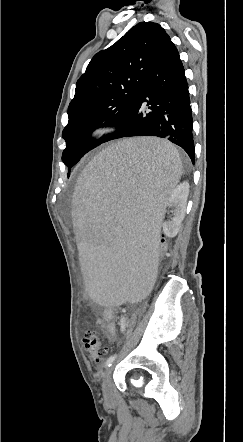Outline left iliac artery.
<instances>
[{
    "label": "left iliac artery",
    "mask_w": 243,
    "mask_h": 442,
    "mask_svg": "<svg viewBox=\"0 0 243 442\" xmlns=\"http://www.w3.org/2000/svg\"><path fill=\"white\" fill-rule=\"evenodd\" d=\"M120 326H121V331L124 332L125 329H126V319H125L124 316H122L121 319H120ZM116 357H117L116 354L111 355V356L106 360L105 366H106V367H110V366L112 365L113 361L116 359Z\"/></svg>",
    "instance_id": "44dca946"
}]
</instances>
